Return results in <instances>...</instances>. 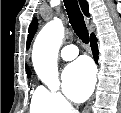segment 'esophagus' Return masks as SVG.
<instances>
[{
    "instance_id": "esophagus-1",
    "label": "esophagus",
    "mask_w": 121,
    "mask_h": 113,
    "mask_svg": "<svg viewBox=\"0 0 121 113\" xmlns=\"http://www.w3.org/2000/svg\"><path fill=\"white\" fill-rule=\"evenodd\" d=\"M90 104V103H89ZM90 108H89V105L85 108L86 111H88Z\"/></svg>"
}]
</instances>
